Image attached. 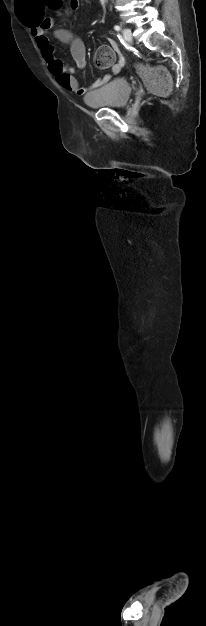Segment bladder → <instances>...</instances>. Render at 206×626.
<instances>
[{
	"label": "bladder",
	"instance_id": "obj_1",
	"mask_svg": "<svg viewBox=\"0 0 206 626\" xmlns=\"http://www.w3.org/2000/svg\"><path fill=\"white\" fill-rule=\"evenodd\" d=\"M131 85L124 78H114L100 88L87 93L84 103L93 109L122 108L131 97Z\"/></svg>",
	"mask_w": 206,
	"mask_h": 626
}]
</instances>
